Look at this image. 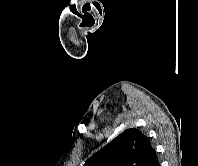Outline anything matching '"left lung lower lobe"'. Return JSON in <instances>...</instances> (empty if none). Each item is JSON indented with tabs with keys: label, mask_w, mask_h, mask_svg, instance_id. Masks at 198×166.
I'll return each instance as SVG.
<instances>
[{
	"label": "left lung lower lobe",
	"mask_w": 198,
	"mask_h": 166,
	"mask_svg": "<svg viewBox=\"0 0 198 166\" xmlns=\"http://www.w3.org/2000/svg\"><path fill=\"white\" fill-rule=\"evenodd\" d=\"M151 166H160V163H159L158 158H156V159L154 160V162L151 164Z\"/></svg>",
	"instance_id": "1"
}]
</instances>
